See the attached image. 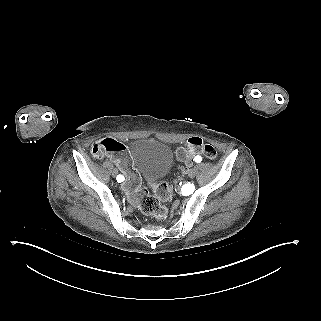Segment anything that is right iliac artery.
Here are the masks:
<instances>
[{"label": "right iliac artery", "mask_w": 321, "mask_h": 321, "mask_svg": "<svg viewBox=\"0 0 321 321\" xmlns=\"http://www.w3.org/2000/svg\"><path fill=\"white\" fill-rule=\"evenodd\" d=\"M124 180V177L122 175H118L117 181L122 182Z\"/></svg>", "instance_id": "82829eb1"}]
</instances>
